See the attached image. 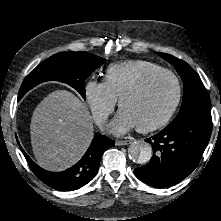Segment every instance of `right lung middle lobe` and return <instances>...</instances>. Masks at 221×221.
<instances>
[{
  "label": "right lung middle lobe",
  "mask_w": 221,
  "mask_h": 221,
  "mask_svg": "<svg viewBox=\"0 0 221 221\" xmlns=\"http://www.w3.org/2000/svg\"><path fill=\"white\" fill-rule=\"evenodd\" d=\"M104 62L105 59L86 52L55 54L39 64L25 77L19 90L18 99L20 100L31 88L46 81L66 83L85 98L84 81Z\"/></svg>",
  "instance_id": "obj_1"
}]
</instances>
